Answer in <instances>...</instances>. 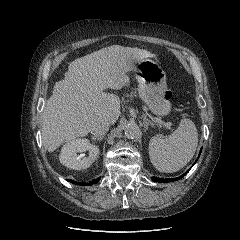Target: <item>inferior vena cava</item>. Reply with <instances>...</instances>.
<instances>
[{
    "label": "inferior vena cava",
    "mask_w": 240,
    "mask_h": 240,
    "mask_svg": "<svg viewBox=\"0 0 240 240\" xmlns=\"http://www.w3.org/2000/svg\"><path fill=\"white\" fill-rule=\"evenodd\" d=\"M110 123L106 120H102L97 123L91 130V133L95 136H101L107 133L109 130Z\"/></svg>",
    "instance_id": "inferior-vena-cava-1"
}]
</instances>
